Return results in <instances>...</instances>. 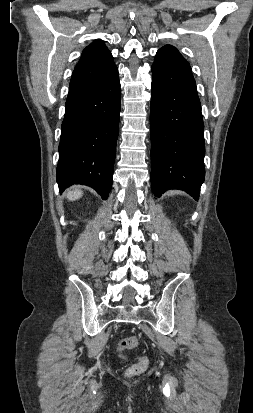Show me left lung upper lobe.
<instances>
[{"label": "left lung upper lobe", "mask_w": 253, "mask_h": 413, "mask_svg": "<svg viewBox=\"0 0 253 413\" xmlns=\"http://www.w3.org/2000/svg\"><path fill=\"white\" fill-rule=\"evenodd\" d=\"M164 47H166V48H172V49L177 50L175 47H173V46H171V45H166V46H164Z\"/></svg>", "instance_id": "1"}]
</instances>
